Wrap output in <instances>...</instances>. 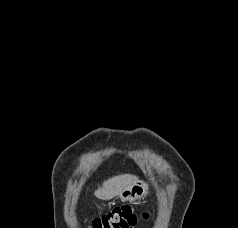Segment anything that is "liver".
Here are the masks:
<instances>
[{"label":"liver","mask_w":238,"mask_h":228,"mask_svg":"<svg viewBox=\"0 0 238 228\" xmlns=\"http://www.w3.org/2000/svg\"><path fill=\"white\" fill-rule=\"evenodd\" d=\"M138 178L135 175L123 174L114 176L104 181L102 187L98 188L94 195L99 199H111L119 196L123 190Z\"/></svg>","instance_id":"liver-1"}]
</instances>
